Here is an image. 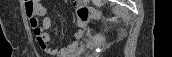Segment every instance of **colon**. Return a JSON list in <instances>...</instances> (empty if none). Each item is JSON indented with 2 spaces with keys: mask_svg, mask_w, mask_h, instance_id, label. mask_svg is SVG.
I'll return each mask as SVG.
<instances>
[{
  "mask_svg": "<svg viewBox=\"0 0 172 57\" xmlns=\"http://www.w3.org/2000/svg\"><path fill=\"white\" fill-rule=\"evenodd\" d=\"M76 15L78 19L84 23L99 18L101 16V12L92 7H79L76 11Z\"/></svg>",
  "mask_w": 172,
  "mask_h": 57,
  "instance_id": "colon-1",
  "label": "colon"
}]
</instances>
